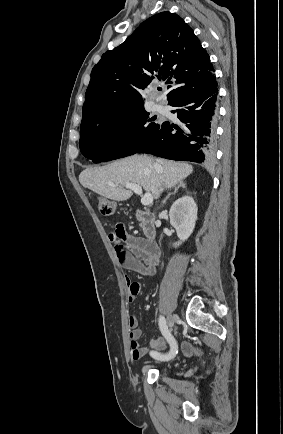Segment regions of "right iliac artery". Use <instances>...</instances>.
<instances>
[{
  "mask_svg": "<svg viewBox=\"0 0 283 434\" xmlns=\"http://www.w3.org/2000/svg\"><path fill=\"white\" fill-rule=\"evenodd\" d=\"M159 327H160V330H161L163 336L168 340V342L171 346V350L169 353H166V354L151 352L150 355L156 360L168 361V360L174 358V356L177 353V352H175V350H173L175 348L176 342H175V339L173 338V336L171 335V333L169 332L167 324H166V320L163 316L159 317Z\"/></svg>",
  "mask_w": 283,
  "mask_h": 434,
  "instance_id": "right-iliac-artery-1",
  "label": "right iliac artery"
}]
</instances>
